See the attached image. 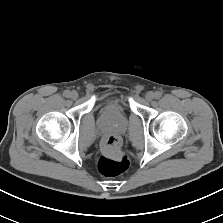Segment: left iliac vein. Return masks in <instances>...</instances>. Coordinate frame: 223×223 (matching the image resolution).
I'll use <instances>...</instances> for the list:
<instances>
[{
	"instance_id": "1",
	"label": "left iliac vein",
	"mask_w": 223,
	"mask_h": 223,
	"mask_svg": "<svg viewBox=\"0 0 223 223\" xmlns=\"http://www.w3.org/2000/svg\"><path fill=\"white\" fill-rule=\"evenodd\" d=\"M145 99L147 101H152L154 99V93L153 92H147L146 95H145Z\"/></svg>"
}]
</instances>
